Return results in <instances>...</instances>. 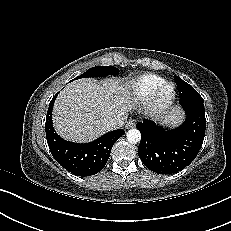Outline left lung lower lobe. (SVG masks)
<instances>
[{"instance_id": "obj_1", "label": "left lung lower lobe", "mask_w": 231, "mask_h": 231, "mask_svg": "<svg viewBox=\"0 0 231 231\" xmlns=\"http://www.w3.org/2000/svg\"><path fill=\"white\" fill-rule=\"evenodd\" d=\"M203 102L180 101L186 119L175 129H165L147 119L136 125L141 132L138 155L148 169L157 174H172L196 158L205 136Z\"/></svg>"}]
</instances>
